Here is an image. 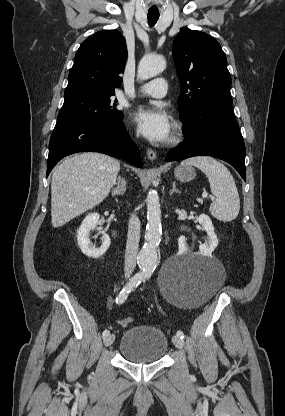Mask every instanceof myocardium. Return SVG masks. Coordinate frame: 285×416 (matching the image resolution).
Instances as JSON below:
<instances>
[{"mask_svg":"<svg viewBox=\"0 0 285 416\" xmlns=\"http://www.w3.org/2000/svg\"><path fill=\"white\" fill-rule=\"evenodd\" d=\"M176 139H177V137L176 136H174L173 138H172V142H175L176 141Z\"/></svg>","mask_w":285,"mask_h":416,"instance_id":"myocardium-1","label":"myocardium"}]
</instances>
